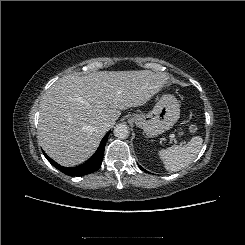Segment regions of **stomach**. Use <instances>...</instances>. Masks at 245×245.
<instances>
[{
  "label": "stomach",
  "instance_id": "1",
  "mask_svg": "<svg viewBox=\"0 0 245 245\" xmlns=\"http://www.w3.org/2000/svg\"><path fill=\"white\" fill-rule=\"evenodd\" d=\"M179 117L178 100L171 94H164L151 112L134 114L132 119L147 136L155 137L172 128Z\"/></svg>",
  "mask_w": 245,
  "mask_h": 245
}]
</instances>
